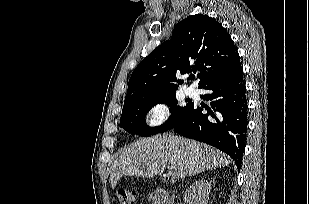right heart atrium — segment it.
Here are the masks:
<instances>
[{
	"label": "right heart atrium",
	"instance_id": "right-heart-atrium-1",
	"mask_svg": "<svg viewBox=\"0 0 309 204\" xmlns=\"http://www.w3.org/2000/svg\"><path fill=\"white\" fill-rule=\"evenodd\" d=\"M168 116V107L163 102H154L147 111V124L156 126L162 123Z\"/></svg>",
	"mask_w": 309,
	"mask_h": 204
}]
</instances>
